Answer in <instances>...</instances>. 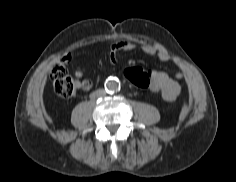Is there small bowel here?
<instances>
[{
	"label": "small bowel",
	"instance_id": "obj_1",
	"mask_svg": "<svg viewBox=\"0 0 236 182\" xmlns=\"http://www.w3.org/2000/svg\"><path fill=\"white\" fill-rule=\"evenodd\" d=\"M136 48L135 44L129 40H119L111 44L109 51V59L111 62L116 61L117 54L121 51L130 52ZM141 50L149 55H155L160 61H168L169 54L165 49H160L153 44L143 43ZM63 60L68 62L71 60V55L67 54L63 57ZM152 76L150 90L159 93L161 97L168 102L174 101L181 93L182 87L178 81L170 77L166 72L158 70H149ZM177 79H181L183 74L178 72L175 74ZM83 90H90L92 82L85 79L81 83Z\"/></svg>",
	"mask_w": 236,
	"mask_h": 182
}]
</instances>
